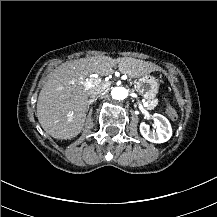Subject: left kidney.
<instances>
[{"mask_svg": "<svg viewBox=\"0 0 217 217\" xmlns=\"http://www.w3.org/2000/svg\"><path fill=\"white\" fill-rule=\"evenodd\" d=\"M156 130H150V126L145 122L140 124V132L142 136L153 143H163L172 136V128L170 122L161 114L155 113L153 115Z\"/></svg>", "mask_w": 217, "mask_h": 217, "instance_id": "obj_1", "label": "left kidney"}]
</instances>
